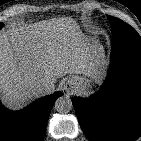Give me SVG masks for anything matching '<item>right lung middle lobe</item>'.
Masks as SVG:
<instances>
[{
	"mask_svg": "<svg viewBox=\"0 0 141 141\" xmlns=\"http://www.w3.org/2000/svg\"><path fill=\"white\" fill-rule=\"evenodd\" d=\"M3 27V24L2 23H0V28H2Z\"/></svg>",
	"mask_w": 141,
	"mask_h": 141,
	"instance_id": "1",
	"label": "right lung middle lobe"
}]
</instances>
